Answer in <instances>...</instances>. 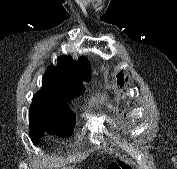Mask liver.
<instances>
[{
	"label": "liver",
	"mask_w": 177,
	"mask_h": 169,
	"mask_svg": "<svg viewBox=\"0 0 177 169\" xmlns=\"http://www.w3.org/2000/svg\"><path fill=\"white\" fill-rule=\"evenodd\" d=\"M63 169H73V167H64Z\"/></svg>",
	"instance_id": "6515ba94"
}]
</instances>
